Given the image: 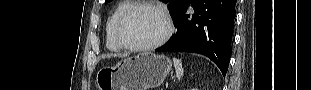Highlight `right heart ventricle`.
<instances>
[{
  "label": "right heart ventricle",
  "mask_w": 311,
  "mask_h": 90,
  "mask_svg": "<svg viewBox=\"0 0 311 90\" xmlns=\"http://www.w3.org/2000/svg\"><path fill=\"white\" fill-rule=\"evenodd\" d=\"M133 4L134 3L132 1H121L115 6L111 15L109 16L105 27L106 46L109 50L118 51L122 49L115 37V26L118 18L122 15V13Z\"/></svg>",
  "instance_id": "obj_1"
}]
</instances>
